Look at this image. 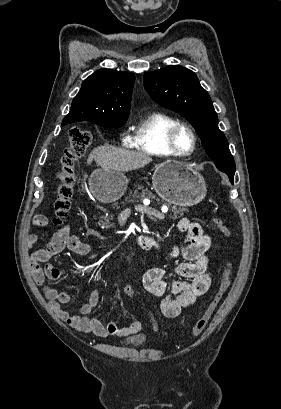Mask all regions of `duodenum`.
I'll use <instances>...</instances> for the list:
<instances>
[{
  "label": "duodenum",
  "mask_w": 281,
  "mask_h": 409,
  "mask_svg": "<svg viewBox=\"0 0 281 409\" xmlns=\"http://www.w3.org/2000/svg\"><path fill=\"white\" fill-rule=\"evenodd\" d=\"M138 242L140 244V246L149 251L152 249V245H151V238L148 236H144V235H140L138 236Z\"/></svg>",
  "instance_id": "410a0bca"
}]
</instances>
